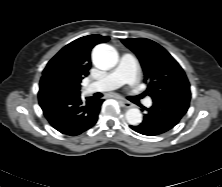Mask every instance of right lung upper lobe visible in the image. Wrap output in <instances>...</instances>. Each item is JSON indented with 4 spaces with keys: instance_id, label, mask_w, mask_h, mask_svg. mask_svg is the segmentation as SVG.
<instances>
[{
    "instance_id": "1",
    "label": "right lung upper lobe",
    "mask_w": 222,
    "mask_h": 187,
    "mask_svg": "<svg viewBox=\"0 0 222 187\" xmlns=\"http://www.w3.org/2000/svg\"><path fill=\"white\" fill-rule=\"evenodd\" d=\"M108 40L109 37L101 35H88L74 40L48 62L41 80L56 77L68 84L74 92L80 93L81 80L89 74L91 68V49Z\"/></svg>"
}]
</instances>
